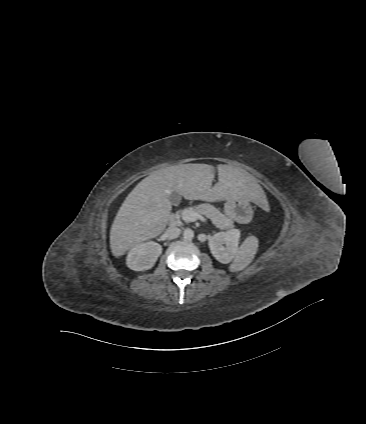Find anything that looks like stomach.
Returning a JSON list of instances; mask_svg holds the SVG:
<instances>
[{
    "label": "stomach",
    "instance_id": "stomach-1",
    "mask_svg": "<svg viewBox=\"0 0 366 424\" xmlns=\"http://www.w3.org/2000/svg\"><path fill=\"white\" fill-rule=\"evenodd\" d=\"M241 210L252 211L250 200L236 198L226 200L224 212L229 218L236 221H242V216L240 214Z\"/></svg>",
    "mask_w": 366,
    "mask_h": 424
}]
</instances>
